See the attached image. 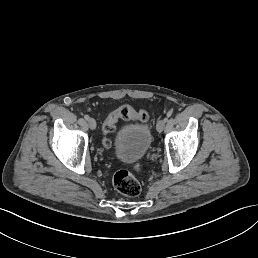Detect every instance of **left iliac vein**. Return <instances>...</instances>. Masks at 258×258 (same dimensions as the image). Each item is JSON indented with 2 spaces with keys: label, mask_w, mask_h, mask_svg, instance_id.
<instances>
[{
  "label": "left iliac vein",
  "mask_w": 258,
  "mask_h": 258,
  "mask_svg": "<svg viewBox=\"0 0 258 258\" xmlns=\"http://www.w3.org/2000/svg\"><path fill=\"white\" fill-rule=\"evenodd\" d=\"M165 126H166L165 120L164 119H159L158 123L156 125L157 132L162 133L165 129Z\"/></svg>",
  "instance_id": "4c4485c4"
}]
</instances>
